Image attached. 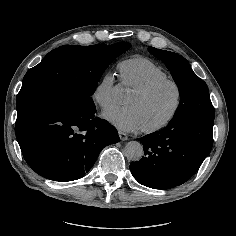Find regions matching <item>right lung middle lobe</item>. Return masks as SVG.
Segmentation results:
<instances>
[{
	"label": "right lung middle lobe",
	"instance_id": "right-lung-middle-lobe-1",
	"mask_svg": "<svg viewBox=\"0 0 236 236\" xmlns=\"http://www.w3.org/2000/svg\"><path fill=\"white\" fill-rule=\"evenodd\" d=\"M129 48V43H116L63 46L52 50L26 73L17 96V116L45 104L93 106L91 95L103 72Z\"/></svg>",
	"mask_w": 236,
	"mask_h": 236
}]
</instances>
